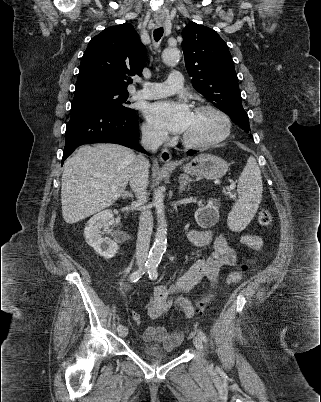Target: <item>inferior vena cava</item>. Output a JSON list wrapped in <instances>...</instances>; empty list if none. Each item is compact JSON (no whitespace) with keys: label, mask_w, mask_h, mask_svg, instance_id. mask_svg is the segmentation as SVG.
Segmentation results:
<instances>
[{"label":"inferior vena cava","mask_w":321,"mask_h":402,"mask_svg":"<svg viewBox=\"0 0 321 402\" xmlns=\"http://www.w3.org/2000/svg\"><path fill=\"white\" fill-rule=\"evenodd\" d=\"M165 139V133L153 128L142 129V146L155 152ZM149 161L144 155H138L130 175V186L135 192L137 204L143 206L147 202ZM153 229V216L149 209L142 208L139 219V230L136 243V261L143 266L148 258L150 238Z\"/></svg>","instance_id":"obj_1"}]
</instances>
